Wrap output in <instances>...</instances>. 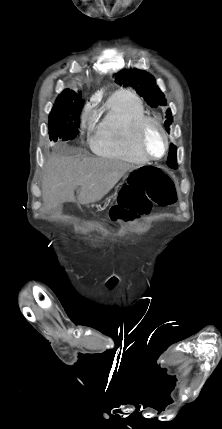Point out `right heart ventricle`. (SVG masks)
Returning <instances> with one entry per match:
<instances>
[{
    "instance_id": "e07e8e85",
    "label": "right heart ventricle",
    "mask_w": 222,
    "mask_h": 429,
    "mask_svg": "<svg viewBox=\"0 0 222 429\" xmlns=\"http://www.w3.org/2000/svg\"><path fill=\"white\" fill-rule=\"evenodd\" d=\"M146 116L142 100L132 91L114 92L104 106V117L90 138L93 151L135 164L149 160L136 144L138 122Z\"/></svg>"
}]
</instances>
